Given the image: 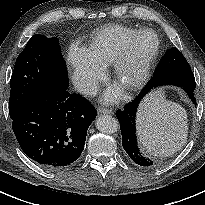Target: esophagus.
<instances>
[{
	"label": "esophagus",
	"mask_w": 205,
	"mask_h": 205,
	"mask_svg": "<svg viewBox=\"0 0 205 205\" xmlns=\"http://www.w3.org/2000/svg\"><path fill=\"white\" fill-rule=\"evenodd\" d=\"M97 113L98 114H113L114 112L111 109H106V108L99 107L97 109Z\"/></svg>",
	"instance_id": "1"
}]
</instances>
